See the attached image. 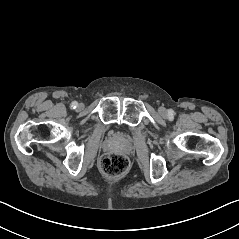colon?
<instances>
[{"label":"colon","instance_id":"5ec220e1","mask_svg":"<svg viewBox=\"0 0 239 239\" xmlns=\"http://www.w3.org/2000/svg\"><path fill=\"white\" fill-rule=\"evenodd\" d=\"M129 161L126 156L117 153L106 154L100 162V168L107 176H118L128 169Z\"/></svg>","mask_w":239,"mask_h":239}]
</instances>
